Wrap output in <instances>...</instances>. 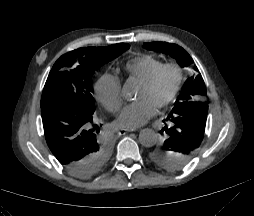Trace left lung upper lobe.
<instances>
[{"label":"left lung upper lobe","instance_id":"1","mask_svg":"<svg viewBox=\"0 0 254 216\" xmlns=\"http://www.w3.org/2000/svg\"><path fill=\"white\" fill-rule=\"evenodd\" d=\"M143 47L168 54L182 66L192 65L190 55L180 46L166 42L144 43ZM195 70H198L195 68ZM207 92L201 74L186 80L161 130L166 140L152 146L150 160L167 171L184 168L196 155L202 142L208 113Z\"/></svg>","mask_w":254,"mask_h":216}]
</instances>
